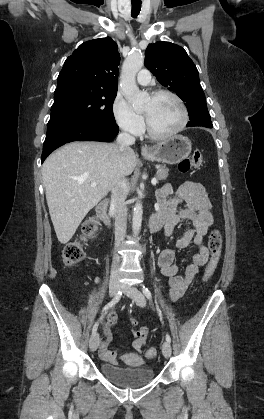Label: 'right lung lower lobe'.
I'll use <instances>...</instances> for the list:
<instances>
[{
    "instance_id": "obj_1",
    "label": "right lung lower lobe",
    "mask_w": 264,
    "mask_h": 419,
    "mask_svg": "<svg viewBox=\"0 0 264 419\" xmlns=\"http://www.w3.org/2000/svg\"><path fill=\"white\" fill-rule=\"evenodd\" d=\"M116 123L78 122L66 125L50 135H46L41 162L61 145L72 141H102L110 142L118 134Z\"/></svg>"
}]
</instances>
